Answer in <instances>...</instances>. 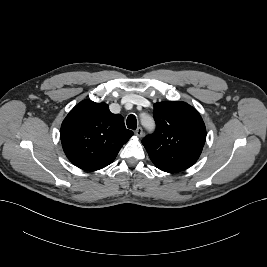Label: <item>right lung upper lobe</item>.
Here are the masks:
<instances>
[{
	"label": "right lung upper lobe",
	"instance_id": "obj_1",
	"mask_svg": "<svg viewBox=\"0 0 267 267\" xmlns=\"http://www.w3.org/2000/svg\"><path fill=\"white\" fill-rule=\"evenodd\" d=\"M132 135L120 114L111 113L106 103L88 99L69 112L60 131L67 158L87 171H96L111 164Z\"/></svg>",
	"mask_w": 267,
	"mask_h": 267
}]
</instances>
